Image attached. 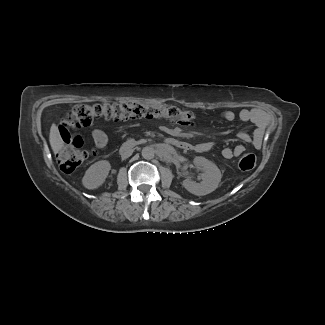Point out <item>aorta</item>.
Wrapping results in <instances>:
<instances>
[{
    "mask_svg": "<svg viewBox=\"0 0 325 325\" xmlns=\"http://www.w3.org/2000/svg\"><path fill=\"white\" fill-rule=\"evenodd\" d=\"M141 153L144 159L150 160L155 156V149L151 146H146L142 149Z\"/></svg>",
    "mask_w": 325,
    "mask_h": 325,
    "instance_id": "1",
    "label": "aorta"
}]
</instances>
